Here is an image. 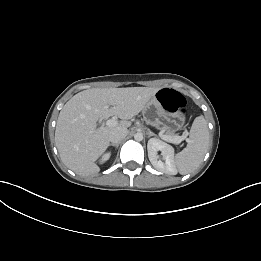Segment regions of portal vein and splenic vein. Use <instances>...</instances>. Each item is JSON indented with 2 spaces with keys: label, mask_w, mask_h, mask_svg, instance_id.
I'll return each instance as SVG.
<instances>
[{
  "label": "portal vein and splenic vein",
  "mask_w": 261,
  "mask_h": 261,
  "mask_svg": "<svg viewBox=\"0 0 261 261\" xmlns=\"http://www.w3.org/2000/svg\"><path fill=\"white\" fill-rule=\"evenodd\" d=\"M106 125L109 126V127L116 126L117 120L115 118L109 119V120H107ZM160 137L165 141H168V142H171V143H176V144L180 143L183 140V138H181L179 136L169 137V136L160 134Z\"/></svg>",
  "instance_id": "1"
}]
</instances>
